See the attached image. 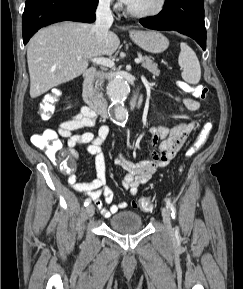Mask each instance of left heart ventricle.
<instances>
[{
	"label": "left heart ventricle",
	"instance_id": "obj_1",
	"mask_svg": "<svg viewBox=\"0 0 243 289\" xmlns=\"http://www.w3.org/2000/svg\"><path fill=\"white\" fill-rule=\"evenodd\" d=\"M158 0H131L128 6L135 11H147L155 7Z\"/></svg>",
	"mask_w": 243,
	"mask_h": 289
}]
</instances>
